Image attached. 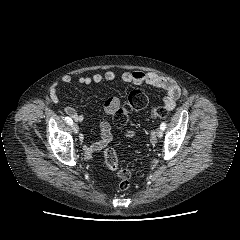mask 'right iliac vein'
<instances>
[{"mask_svg":"<svg viewBox=\"0 0 240 240\" xmlns=\"http://www.w3.org/2000/svg\"><path fill=\"white\" fill-rule=\"evenodd\" d=\"M71 128H72L74 133L77 134L79 132V127L76 123H72Z\"/></svg>","mask_w":240,"mask_h":240,"instance_id":"obj_1","label":"right iliac vein"}]
</instances>
